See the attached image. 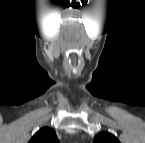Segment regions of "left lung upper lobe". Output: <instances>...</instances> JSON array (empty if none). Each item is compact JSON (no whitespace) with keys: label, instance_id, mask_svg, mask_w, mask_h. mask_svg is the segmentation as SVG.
I'll return each mask as SVG.
<instances>
[{"label":"left lung upper lobe","instance_id":"left-lung-upper-lobe-1","mask_svg":"<svg viewBox=\"0 0 145 143\" xmlns=\"http://www.w3.org/2000/svg\"><path fill=\"white\" fill-rule=\"evenodd\" d=\"M95 143H119V140L108 132H102L94 137Z\"/></svg>","mask_w":145,"mask_h":143}]
</instances>
